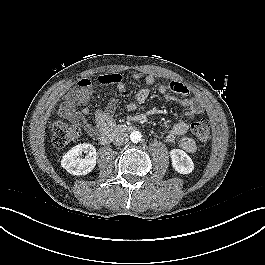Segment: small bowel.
Returning a JSON list of instances; mask_svg holds the SVG:
<instances>
[{
  "label": "small bowel",
  "instance_id": "1",
  "mask_svg": "<svg viewBox=\"0 0 265 265\" xmlns=\"http://www.w3.org/2000/svg\"><path fill=\"white\" fill-rule=\"evenodd\" d=\"M141 78L142 75L140 73L133 74L134 80ZM144 81L146 87L139 89L133 99L125 104L124 109L126 111L136 110L149 98V88L154 85L155 77L153 75H147ZM102 82L114 84L120 93L126 90V86L119 74L107 75L103 77ZM158 92L167 99L177 102L185 108L183 117L166 134V141L170 143L178 142L179 146L188 153L195 152L196 143L192 138L186 136V133L188 132L190 122L204 112V105L201 100L195 97H189L187 88L179 82L161 84L158 87ZM90 96V80L87 78L80 79L76 86L67 93L62 104V111L69 120L83 126L85 131L93 137L95 133L110 129L114 124V120L109 110H99L96 113L95 123H87L86 116L90 113L87 103ZM115 104L116 101L112 100L109 108H113Z\"/></svg>",
  "mask_w": 265,
  "mask_h": 265
}]
</instances>
